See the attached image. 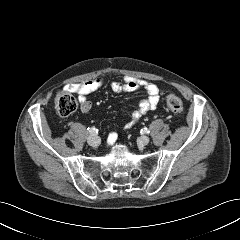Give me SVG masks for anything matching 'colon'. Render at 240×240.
I'll list each match as a JSON object with an SVG mask.
<instances>
[{"instance_id":"colon-1","label":"colon","mask_w":240,"mask_h":240,"mask_svg":"<svg viewBox=\"0 0 240 240\" xmlns=\"http://www.w3.org/2000/svg\"><path fill=\"white\" fill-rule=\"evenodd\" d=\"M55 109L61 116H69L79 107L76 98L67 91H59L54 101ZM167 106L175 114L183 111L181 99L173 93L167 95Z\"/></svg>"}]
</instances>
